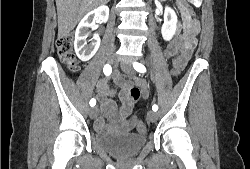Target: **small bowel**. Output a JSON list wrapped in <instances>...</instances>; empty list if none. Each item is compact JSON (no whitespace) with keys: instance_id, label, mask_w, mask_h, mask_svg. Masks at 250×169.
I'll list each match as a JSON object with an SVG mask.
<instances>
[{"instance_id":"small-bowel-1","label":"small bowel","mask_w":250,"mask_h":169,"mask_svg":"<svg viewBox=\"0 0 250 169\" xmlns=\"http://www.w3.org/2000/svg\"><path fill=\"white\" fill-rule=\"evenodd\" d=\"M198 29L199 24L197 21L188 20V30L184 37L165 48L164 56L167 59L173 58V67H181V70H183L186 66L196 45V41L192 40V37H195ZM110 80L115 82L118 89V98L122 103L118 115L114 116L115 120L120 119L122 123L121 125L114 123L112 128L122 132H129L138 124L137 116L134 113V102L130 98V90L133 87H138L141 96L146 98L149 95V86L144 79L138 76H130L127 80L119 74L101 78L97 84V100L102 105H105L110 112H113L115 109V103L112 99L115 92L109 87ZM94 127L96 131L102 132L105 129L104 119L102 117L97 118Z\"/></svg>"}]
</instances>
